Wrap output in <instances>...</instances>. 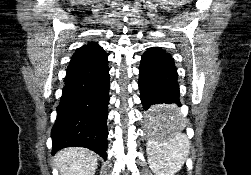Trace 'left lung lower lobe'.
<instances>
[{
  "label": "left lung lower lobe",
  "mask_w": 251,
  "mask_h": 175,
  "mask_svg": "<svg viewBox=\"0 0 251 175\" xmlns=\"http://www.w3.org/2000/svg\"><path fill=\"white\" fill-rule=\"evenodd\" d=\"M178 74L172 56L160 47L149 48L141 58L139 89L144 120L150 124L169 122L178 116Z\"/></svg>",
  "instance_id": "obj_1"
}]
</instances>
